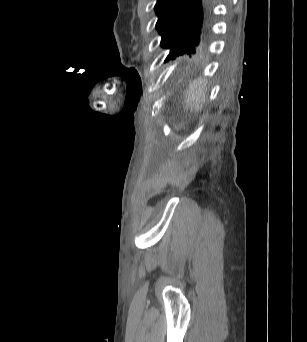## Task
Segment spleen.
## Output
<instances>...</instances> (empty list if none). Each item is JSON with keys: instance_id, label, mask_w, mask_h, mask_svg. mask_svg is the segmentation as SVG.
Listing matches in <instances>:
<instances>
[{"instance_id": "1", "label": "spleen", "mask_w": 307, "mask_h": 342, "mask_svg": "<svg viewBox=\"0 0 307 342\" xmlns=\"http://www.w3.org/2000/svg\"><path fill=\"white\" fill-rule=\"evenodd\" d=\"M206 92V80L203 78H197L189 86L188 92H186V109L189 110L190 114H200L201 104L205 102Z\"/></svg>"}]
</instances>
